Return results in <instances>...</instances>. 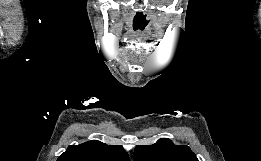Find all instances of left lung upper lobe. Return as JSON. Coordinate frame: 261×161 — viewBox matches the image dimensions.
Masks as SVG:
<instances>
[{
  "label": "left lung upper lobe",
  "mask_w": 261,
  "mask_h": 161,
  "mask_svg": "<svg viewBox=\"0 0 261 161\" xmlns=\"http://www.w3.org/2000/svg\"><path fill=\"white\" fill-rule=\"evenodd\" d=\"M134 161H198L187 145H175L169 139H159L153 145H139Z\"/></svg>",
  "instance_id": "left-lung-upper-lobe-1"
}]
</instances>
